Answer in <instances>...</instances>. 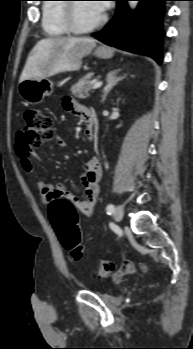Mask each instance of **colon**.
<instances>
[{
  "label": "colon",
  "instance_id": "1",
  "mask_svg": "<svg viewBox=\"0 0 193 349\" xmlns=\"http://www.w3.org/2000/svg\"><path fill=\"white\" fill-rule=\"evenodd\" d=\"M28 148L39 146L54 138L55 128L52 119L41 109L30 108L24 114L23 131ZM48 217L63 248L73 259L79 261L84 249L77 225L78 212L74 203L66 199L52 201L48 206ZM146 269L145 266H143ZM114 270L110 260H100L94 272L95 277H107Z\"/></svg>",
  "mask_w": 193,
  "mask_h": 349
}]
</instances>
